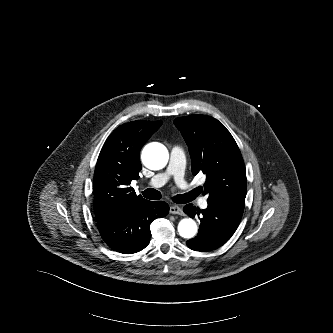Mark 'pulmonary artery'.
<instances>
[{
    "label": "pulmonary artery",
    "instance_id": "1",
    "mask_svg": "<svg viewBox=\"0 0 333 333\" xmlns=\"http://www.w3.org/2000/svg\"><path fill=\"white\" fill-rule=\"evenodd\" d=\"M172 170H173V167L170 166V167L168 168V170H167L165 173H161V174L155 176V177L152 179L151 184H152V185H155V186H162V185H164V184L166 183V181L168 180L169 175H170L171 173H173ZM202 206H203V207H206V206H207V203H206V202H203V203H202Z\"/></svg>",
    "mask_w": 333,
    "mask_h": 333
}]
</instances>
